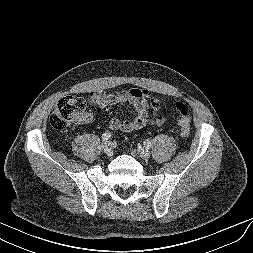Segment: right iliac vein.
<instances>
[{
	"label": "right iliac vein",
	"instance_id": "1",
	"mask_svg": "<svg viewBox=\"0 0 253 253\" xmlns=\"http://www.w3.org/2000/svg\"><path fill=\"white\" fill-rule=\"evenodd\" d=\"M101 148L104 153L111 155L113 151V144L109 141H106L102 144Z\"/></svg>",
	"mask_w": 253,
	"mask_h": 253
}]
</instances>
